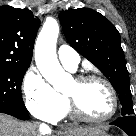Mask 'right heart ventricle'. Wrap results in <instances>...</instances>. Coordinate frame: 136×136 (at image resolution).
Here are the masks:
<instances>
[{"mask_svg":"<svg viewBox=\"0 0 136 136\" xmlns=\"http://www.w3.org/2000/svg\"><path fill=\"white\" fill-rule=\"evenodd\" d=\"M65 102H66V100H65ZM67 112H68V107H67V104H65V108H64V110H63V112H62L60 118H61L62 116H64Z\"/></svg>","mask_w":136,"mask_h":136,"instance_id":"obj_1","label":"right heart ventricle"}]
</instances>
